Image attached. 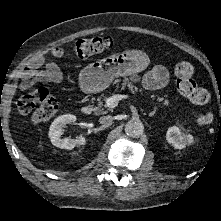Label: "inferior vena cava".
Wrapping results in <instances>:
<instances>
[{"label": "inferior vena cava", "mask_w": 221, "mask_h": 221, "mask_svg": "<svg viewBox=\"0 0 221 221\" xmlns=\"http://www.w3.org/2000/svg\"><path fill=\"white\" fill-rule=\"evenodd\" d=\"M113 121V117L110 116V115H107V116H102L100 119H99V122L101 124H109Z\"/></svg>", "instance_id": "1"}]
</instances>
